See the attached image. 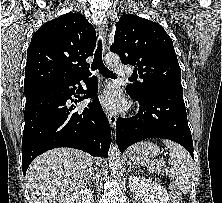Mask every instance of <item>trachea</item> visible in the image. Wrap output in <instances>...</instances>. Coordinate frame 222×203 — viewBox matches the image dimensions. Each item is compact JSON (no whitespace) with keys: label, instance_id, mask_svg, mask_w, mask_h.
Here are the masks:
<instances>
[{"label":"trachea","instance_id":"1","mask_svg":"<svg viewBox=\"0 0 222 203\" xmlns=\"http://www.w3.org/2000/svg\"><path fill=\"white\" fill-rule=\"evenodd\" d=\"M92 70L99 69V72L105 75L106 77L116 78L112 71H110L103 63L102 60V42L101 40L98 42V47L96 49L93 63L91 66Z\"/></svg>","mask_w":222,"mask_h":203}]
</instances>
